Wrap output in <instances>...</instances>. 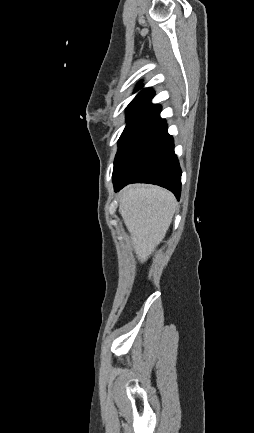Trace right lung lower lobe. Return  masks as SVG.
I'll use <instances>...</instances> for the list:
<instances>
[{"label":"right lung lower lobe","mask_w":254,"mask_h":433,"mask_svg":"<svg viewBox=\"0 0 254 433\" xmlns=\"http://www.w3.org/2000/svg\"><path fill=\"white\" fill-rule=\"evenodd\" d=\"M160 106L147 103L128 122L114 161L115 192L130 183H150L181 193V169Z\"/></svg>","instance_id":"98d812e1"}]
</instances>
